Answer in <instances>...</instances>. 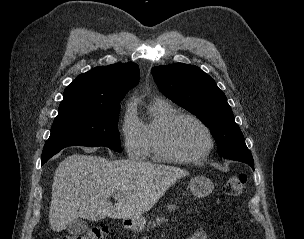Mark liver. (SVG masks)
Masks as SVG:
<instances>
[{
    "label": "liver",
    "instance_id": "1",
    "mask_svg": "<svg viewBox=\"0 0 304 239\" xmlns=\"http://www.w3.org/2000/svg\"><path fill=\"white\" fill-rule=\"evenodd\" d=\"M189 173L174 166L135 160H109L73 154L58 165L52 184L49 222L61 232L77 218L133 219L150 210ZM120 194L116 204L110 196Z\"/></svg>",
    "mask_w": 304,
    "mask_h": 239
}]
</instances>
